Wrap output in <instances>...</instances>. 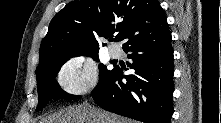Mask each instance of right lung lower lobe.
<instances>
[{
	"mask_svg": "<svg viewBox=\"0 0 221 123\" xmlns=\"http://www.w3.org/2000/svg\"><path fill=\"white\" fill-rule=\"evenodd\" d=\"M171 33L126 49L135 74L111 70L92 91L103 109L144 123H170L173 114V49ZM127 83H122V78Z\"/></svg>",
	"mask_w": 221,
	"mask_h": 123,
	"instance_id": "right-lung-lower-lobe-1",
	"label": "right lung lower lobe"
}]
</instances>
